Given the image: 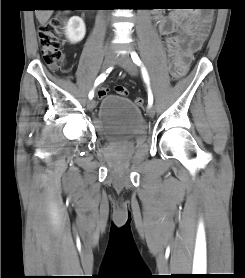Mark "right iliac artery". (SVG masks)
I'll return each mask as SVG.
<instances>
[{
  "label": "right iliac artery",
  "mask_w": 245,
  "mask_h": 278,
  "mask_svg": "<svg viewBox=\"0 0 245 278\" xmlns=\"http://www.w3.org/2000/svg\"><path fill=\"white\" fill-rule=\"evenodd\" d=\"M110 71L111 68L107 69L106 73H103L100 76H98V78L95 80L94 87L102 83L106 78V74L109 73ZM93 97H94V90L90 91L89 93V98L92 99Z\"/></svg>",
  "instance_id": "obj_1"
}]
</instances>
